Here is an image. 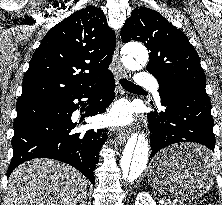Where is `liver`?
<instances>
[{
    "label": "liver",
    "mask_w": 222,
    "mask_h": 205,
    "mask_svg": "<svg viewBox=\"0 0 222 205\" xmlns=\"http://www.w3.org/2000/svg\"><path fill=\"white\" fill-rule=\"evenodd\" d=\"M6 190V205H83L87 180L71 166L35 159L11 173Z\"/></svg>",
    "instance_id": "obj_1"
}]
</instances>
